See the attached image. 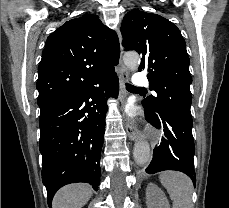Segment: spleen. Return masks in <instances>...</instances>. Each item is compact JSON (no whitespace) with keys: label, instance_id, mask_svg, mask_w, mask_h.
<instances>
[{"label":"spleen","instance_id":"1","mask_svg":"<svg viewBox=\"0 0 229 208\" xmlns=\"http://www.w3.org/2000/svg\"><path fill=\"white\" fill-rule=\"evenodd\" d=\"M159 180L173 200V208H193V184L188 176L181 172H162Z\"/></svg>","mask_w":229,"mask_h":208}]
</instances>
